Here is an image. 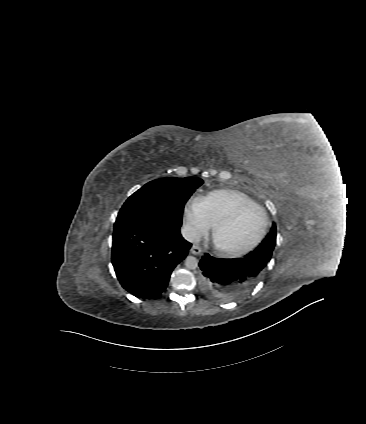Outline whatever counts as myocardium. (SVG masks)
<instances>
[{
  "mask_svg": "<svg viewBox=\"0 0 366 424\" xmlns=\"http://www.w3.org/2000/svg\"><path fill=\"white\" fill-rule=\"evenodd\" d=\"M249 208L258 209L262 213V216H263V219H264L263 228H262L261 232L259 233V235L256 237V239L253 240L250 244H248L244 247H240V248H229V247H225V246L220 245L216 240V236H217V233L219 232V230L222 229L223 227H225L226 225L230 224L231 222H233L241 212H243L244 210L249 209ZM268 225H269V219H268L267 213H266V211L264 210L263 207H261L260 205H258L256 203L241 204V205L235 207L232 211H230L227 215H225L224 217L219 219L213 225L212 233H211V239H212L213 246L219 253L226 255V256L243 255V254L253 250L257 245L260 244V242L263 240V238L265 237V235L267 233Z\"/></svg>",
  "mask_w": 366,
  "mask_h": 424,
  "instance_id": "obj_1",
  "label": "myocardium"
}]
</instances>
